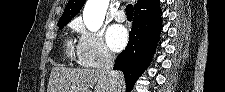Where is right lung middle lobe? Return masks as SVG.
Here are the masks:
<instances>
[{"label":"right lung middle lobe","mask_w":225,"mask_h":92,"mask_svg":"<svg viewBox=\"0 0 225 92\" xmlns=\"http://www.w3.org/2000/svg\"><path fill=\"white\" fill-rule=\"evenodd\" d=\"M68 22H59L58 27L59 29H62Z\"/></svg>","instance_id":"dd1d6c3e"}]
</instances>
